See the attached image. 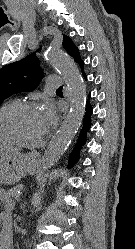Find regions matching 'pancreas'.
Instances as JSON below:
<instances>
[{"instance_id":"pancreas-1","label":"pancreas","mask_w":135,"mask_h":249,"mask_svg":"<svg viewBox=\"0 0 135 249\" xmlns=\"http://www.w3.org/2000/svg\"><path fill=\"white\" fill-rule=\"evenodd\" d=\"M18 191H20L19 187H13L11 188L8 192H7V197L11 198V197H16L18 196Z\"/></svg>"}]
</instances>
